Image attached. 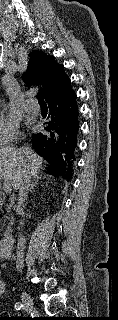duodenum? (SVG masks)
<instances>
[{
    "mask_svg": "<svg viewBox=\"0 0 118 320\" xmlns=\"http://www.w3.org/2000/svg\"><path fill=\"white\" fill-rule=\"evenodd\" d=\"M14 237L9 235L0 241V258H8L14 245Z\"/></svg>",
    "mask_w": 118,
    "mask_h": 320,
    "instance_id": "410a0bca",
    "label": "duodenum"
}]
</instances>
